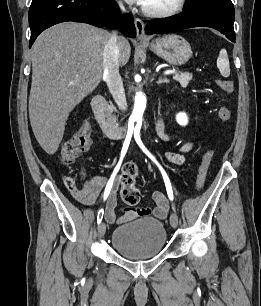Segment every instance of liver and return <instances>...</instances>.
Returning a JSON list of instances; mask_svg holds the SVG:
<instances>
[{
    "label": "liver",
    "instance_id": "6515ba94",
    "mask_svg": "<svg viewBox=\"0 0 261 306\" xmlns=\"http://www.w3.org/2000/svg\"><path fill=\"white\" fill-rule=\"evenodd\" d=\"M109 36L88 24L64 22L42 32L33 44L29 119L47 154L58 150L70 112L100 83ZM118 46L124 66L131 47L123 37Z\"/></svg>",
    "mask_w": 261,
    "mask_h": 306
}]
</instances>
